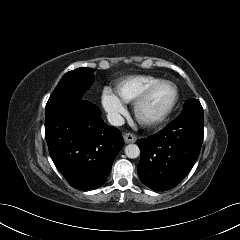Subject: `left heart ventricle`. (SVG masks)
I'll use <instances>...</instances> for the list:
<instances>
[{"label":"left heart ventricle","instance_id":"b2bd125f","mask_svg":"<svg viewBox=\"0 0 240 240\" xmlns=\"http://www.w3.org/2000/svg\"><path fill=\"white\" fill-rule=\"evenodd\" d=\"M175 97L172 86H162L157 89L142 107V114L146 117H156L165 112Z\"/></svg>","mask_w":240,"mask_h":240}]
</instances>
